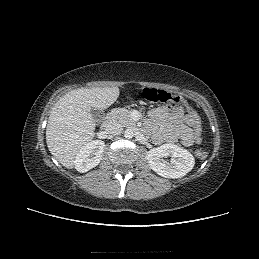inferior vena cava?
<instances>
[{
  "mask_svg": "<svg viewBox=\"0 0 259 259\" xmlns=\"http://www.w3.org/2000/svg\"><path fill=\"white\" fill-rule=\"evenodd\" d=\"M122 126L118 123H110L106 126L105 131L108 135L117 136L122 133Z\"/></svg>",
  "mask_w": 259,
  "mask_h": 259,
  "instance_id": "inferior-vena-cava-1",
  "label": "inferior vena cava"
}]
</instances>
